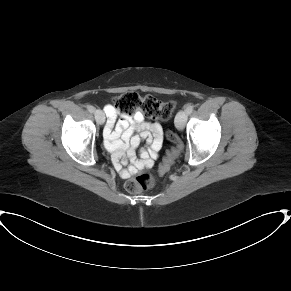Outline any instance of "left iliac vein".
<instances>
[{"label":"left iliac vein","instance_id":"left-iliac-vein-1","mask_svg":"<svg viewBox=\"0 0 291 291\" xmlns=\"http://www.w3.org/2000/svg\"><path fill=\"white\" fill-rule=\"evenodd\" d=\"M187 118H188V113L186 111L180 110L177 113L175 117V126L179 131H182L184 129Z\"/></svg>","mask_w":291,"mask_h":291}]
</instances>
